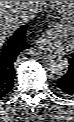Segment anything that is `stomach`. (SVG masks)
Instances as JSON below:
<instances>
[{
  "label": "stomach",
  "mask_w": 74,
  "mask_h": 122,
  "mask_svg": "<svg viewBox=\"0 0 74 122\" xmlns=\"http://www.w3.org/2000/svg\"><path fill=\"white\" fill-rule=\"evenodd\" d=\"M59 33L63 34L65 37H68V33L66 32V30L62 29L61 31H58Z\"/></svg>",
  "instance_id": "stomach-1"
}]
</instances>
